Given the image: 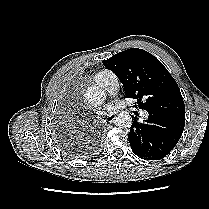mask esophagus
<instances>
[{"mask_svg": "<svg viewBox=\"0 0 209 209\" xmlns=\"http://www.w3.org/2000/svg\"><path fill=\"white\" fill-rule=\"evenodd\" d=\"M115 117H108L104 122L105 123H113L114 122Z\"/></svg>", "mask_w": 209, "mask_h": 209, "instance_id": "obj_1", "label": "esophagus"}]
</instances>
